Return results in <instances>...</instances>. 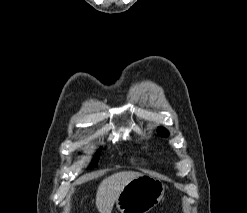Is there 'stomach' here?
I'll return each instance as SVG.
<instances>
[{"label":"stomach","mask_w":247,"mask_h":213,"mask_svg":"<svg viewBox=\"0 0 247 213\" xmlns=\"http://www.w3.org/2000/svg\"><path fill=\"white\" fill-rule=\"evenodd\" d=\"M164 184L148 175L129 182L119 194L116 205L121 213H148L162 200Z\"/></svg>","instance_id":"obj_1"}]
</instances>
